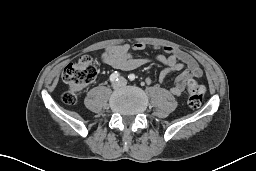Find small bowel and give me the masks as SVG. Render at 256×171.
Returning <instances> with one entry per match:
<instances>
[{"instance_id":"small-bowel-1","label":"small bowel","mask_w":256,"mask_h":171,"mask_svg":"<svg viewBox=\"0 0 256 171\" xmlns=\"http://www.w3.org/2000/svg\"><path fill=\"white\" fill-rule=\"evenodd\" d=\"M144 48H146V44L142 42L133 45H114L106 49L102 55V60L113 68L125 71L137 69L150 60H155L163 65L159 75L160 82H163L171 71L183 70V73L175 79L173 86L169 90L174 96H179L183 93L189 78H201L203 76V71L195 59L176 47L156 46L155 48L163 50L164 54H156L152 58L137 57L132 54V51H141Z\"/></svg>"}]
</instances>
